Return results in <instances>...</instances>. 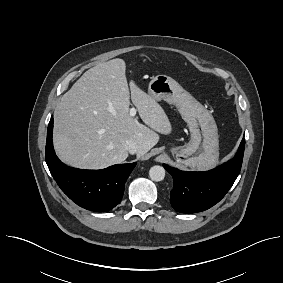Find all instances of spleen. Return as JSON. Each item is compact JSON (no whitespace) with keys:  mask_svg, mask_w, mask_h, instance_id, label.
I'll return each mask as SVG.
<instances>
[{"mask_svg":"<svg viewBox=\"0 0 283 283\" xmlns=\"http://www.w3.org/2000/svg\"><path fill=\"white\" fill-rule=\"evenodd\" d=\"M214 166V165H213ZM213 166H211V167H213ZM211 167H209V168H211ZM209 168H207V169H209ZM204 170H206V169H204Z\"/></svg>","mask_w":283,"mask_h":283,"instance_id":"3e777b00","label":"spleen"}]
</instances>
